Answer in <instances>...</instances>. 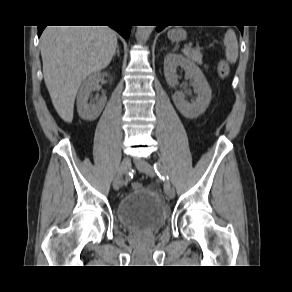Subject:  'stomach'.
Wrapping results in <instances>:
<instances>
[{
	"mask_svg": "<svg viewBox=\"0 0 292 292\" xmlns=\"http://www.w3.org/2000/svg\"><path fill=\"white\" fill-rule=\"evenodd\" d=\"M168 37L172 41H181L186 39V33L181 29H173L168 32Z\"/></svg>",
	"mask_w": 292,
	"mask_h": 292,
	"instance_id": "obj_1",
	"label": "stomach"
}]
</instances>
